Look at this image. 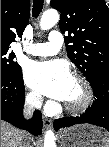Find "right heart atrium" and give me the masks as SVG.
Wrapping results in <instances>:
<instances>
[{"mask_svg":"<svg viewBox=\"0 0 109 147\" xmlns=\"http://www.w3.org/2000/svg\"><path fill=\"white\" fill-rule=\"evenodd\" d=\"M26 98L32 106L38 107L41 103V97L37 92L34 91L27 92Z\"/></svg>","mask_w":109,"mask_h":147,"instance_id":"right-heart-atrium-1","label":"right heart atrium"}]
</instances>
